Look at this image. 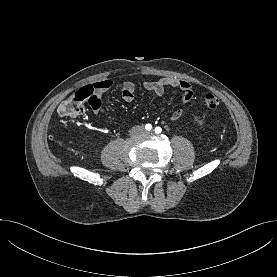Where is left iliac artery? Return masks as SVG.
<instances>
[{
	"mask_svg": "<svg viewBox=\"0 0 277 277\" xmlns=\"http://www.w3.org/2000/svg\"><path fill=\"white\" fill-rule=\"evenodd\" d=\"M161 131H162L161 127H156L155 128V133L159 134V133H161Z\"/></svg>",
	"mask_w": 277,
	"mask_h": 277,
	"instance_id": "left-iliac-artery-1",
	"label": "left iliac artery"
}]
</instances>
